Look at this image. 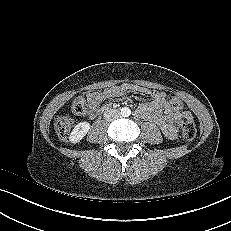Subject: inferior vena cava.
I'll use <instances>...</instances> for the list:
<instances>
[{
	"label": "inferior vena cava",
	"instance_id": "inferior-vena-cava-1",
	"mask_svg": "<svg viewBox=\"0 0 231 231\" xmlns=\"http://www.w3.org/2000/svg\"><path fill=\"white\" fill-rule=\"evenodd\" d=\"M120 117V112L117 109H109L104 112V118L107 121H112Z\"/></svg>",
	"mask_w": 231,
	"mask_h": 231
}]
</instances>
